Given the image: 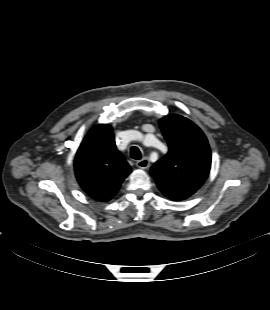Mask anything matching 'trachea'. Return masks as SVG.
<instances>
[{
	"label": "trachea",
	"instance_id": "obj_1",
	"mask_svg": "<svg viewBox=\"0 0 270 310\" xmlns=\"http://www.w3.org/2000/svg\"><path fill=\"white\" fill-rule=\"evenodd\" d=\"M130 155H131V157H132L133 159H135V160H140L141 157H142L141 151H140L139 148L136 147V146L131 147V149H130Z\"/></svg>",
	"mask_w": 270,
	"mask_h": 310
}]
</instances>
